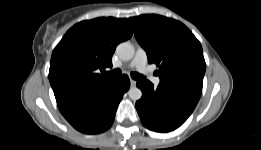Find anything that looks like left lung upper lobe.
Wrapping results in <instances>:
<instances>
[{"label": "left lung upper lobe", "mask_w": 261, "mask_h": 150, "mask_svg": "<svg viewBox=\"0 0 261 150\" xmlns=\"http://www.w3.org/2000/svg\"><path fill=\"white\" fill-rule=\"evenodd\" d=\"M135 37L155 63L160 83H186L202 89L206 63L200 42L181 22L159 15L129 18Z\"/></svg>", "instance_id": "5c2ea615"}]
</instances>
